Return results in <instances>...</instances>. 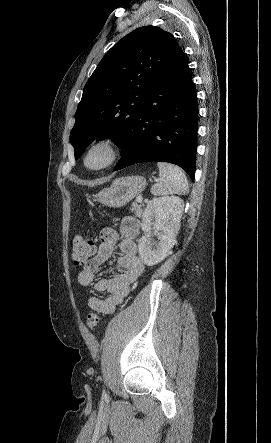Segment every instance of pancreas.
Listing matches in <instances>:
<instances>
[{"label":"pancreas","instance_id":"pancreas-1","mask_svg":"<svg viewBox=\"0 0 271 443\" xmlns=\"http://www.w3.org/2000/svg\"><path fill=\"white\" fill-rule=\"evenodd\" d=\"M132 208H131V212H134V214H136L137 218H141L142 216V206H139L138 202H133V204H131Z\"/></svg>","mask_w":271,"mask_h":443}]
</instances>
